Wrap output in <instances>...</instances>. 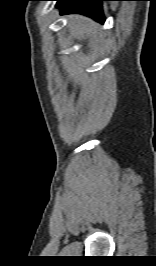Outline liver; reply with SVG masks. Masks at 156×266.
<instances>
[{
  "instance_id": "1",
  "label": "liver",
  "mask_w": 156,
  "mask_h": 266,
  "mask_svg": "<svg viewBox=\"0 0 156 266\" xmlns=\"http://www.w3.org/2000/svg\"><path fill=\"white\" fill-rule=\"evenodd\" d=\"M71 24V34L81 38H89V43L93 44L98 36L97 24L92 20L82 17L79 15H74L70 17Z\"/></svg>"
}]
</instances>
